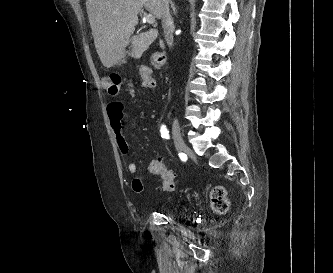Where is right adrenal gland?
Wrapping results in <instances>:
<instances>
[{
    "mask_svg": "<svg viewBox=\"0 0 333 273\" xmlns=\"http://www.w3.org/2000/svg\"><path fill=\"white\" fill-rule=\"evenodd\" d=\"M170 4H171V8H172V10H173V13L176 15V13H177V9H176V7H175V5H174V3H173L172 0H170Z\"/></svg>",
    "mask_w": 333,
    "mask_h": 273,
    "instance_id": "1",
    "label": "right adrenal gland"
}]
</instances>
